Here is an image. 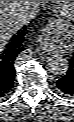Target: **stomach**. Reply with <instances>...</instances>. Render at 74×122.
I'll return each mask as SVG.
<instances>
[{"label": "stomach", "instance_id": "stomach-1", "mask_svg": "<svg viewBox=\"0 0 74 122\" xmlns=\"http://www.w3.org/2000/svg\"><path fill=\"white\" fill-rule=\"evenodd\" d=\"M55 32L58 35H61L62 37L67 38V39L72 37V33L63 27L60 29H57Z\"/></svg>", "mask_w": 74, "mask_h": 122}]
</instances>
